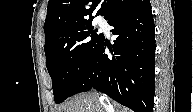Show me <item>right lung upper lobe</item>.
Segmentation results:
<instances>
[{
	"mask_svg": "<svg viewBox=\"0 0 193 112\" xmlns=\"http://www.w3.org/2000/svg\"><path fill=\"white\" fill-rule=\"evenodd\" d=\"M133 0H49L44 24L45 42L58 32L76 25L92 23V13L101 5L97 15L106 20L128 6Z\"/></svg>",
	"mask_w": 193,
	"mask_h": 112,
	"instance_id": "obj_1",
	"label": "right lung upper lobe"
}]
</instances>
